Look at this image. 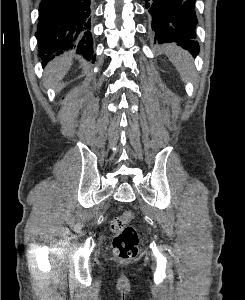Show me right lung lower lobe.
Segmentation results:
<instances>
[{
	"label": "right lung lower lobe",
	"mask_w": 245,
	"mask_h": 300,
	"mask_svg": "<svg viewBox=\"0 0 245 300\" xmlns=\"http://www.w3.org/2000/svg\"><path fill=\"white\" fill-rule=\"evenodd\" d=\"M91 19L90 0H41L35 35L44 63L71 50L94 62Z\"/></svg>",
	"instance_id": "98d812e1"
}]
</instances>
